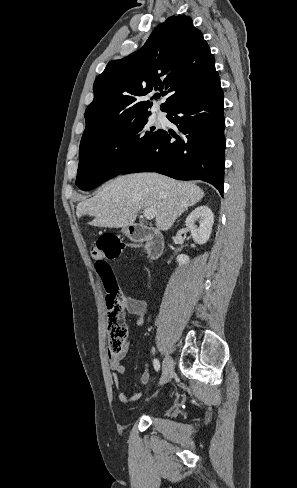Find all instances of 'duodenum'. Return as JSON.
Listing matches in <instances>:
<instances>
[{
	"label": "duodenum",
	"mask_w": 297,
	"mask_h": 488,
	"mask_svg": "<svg viewBox=\"0 0 297 488\" xmlns=\"http://www.w3.org/2000/svg\"><path fill=\"white\" fill-rule=\"evenodd\" d=\"M128 235L132 241L145 244L150 260H156L162 255L164 239L158 231L141 224H133L128 227Z\"/></svg>",
	"instance_id": "410a0bca"
}]
</instances>
